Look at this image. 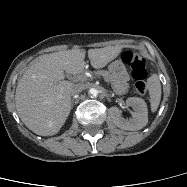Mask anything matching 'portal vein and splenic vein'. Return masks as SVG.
Listing matches in <instances>:
<instances>
[{"label": "portal vein and splenic vein", "instance_id": "portal-vein-and-splenic-vein-1", "mask_svg": "<svg viewBox=\"0 0 187 187\" xmlns=\"http://www.w3.org/2000/svg\"><path fill=\"white\" fill-rule=\"evenodd\" d=\"M78 79H81V77H78ZM104 80H105L107 83H109V80H108V79L104 78Z\"/></svg>", "mask_w": 187, "mask_h": 187}]
</instances>
